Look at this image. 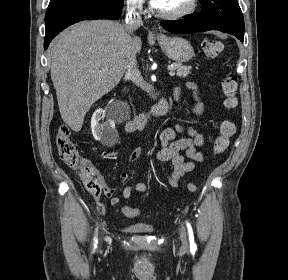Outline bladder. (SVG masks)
<instances>
[{"mask_svg":"<svg viewBox=\"0 0 288 280\" xmlns=\"http://www.w3.org/2000/svg\"><path fill=\"white\" fill-rule=\"evenodd\" d=\"M126 228L127 230L135 233H150L154 231V227L147 223H134L128 225Z\"/></svg>","mask_w":288,"mask_h":280,"instance_id":"bladder-1","label":"bladder"}]
</instances>
